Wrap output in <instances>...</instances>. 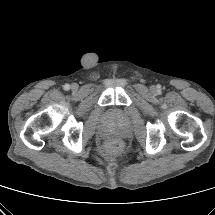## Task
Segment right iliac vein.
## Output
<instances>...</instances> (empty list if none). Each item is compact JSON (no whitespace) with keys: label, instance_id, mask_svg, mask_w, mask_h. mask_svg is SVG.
<instances>
[{"label":"right iliac vein","instance_id":"obj_1","mask_svg":"<svg viewBox=\"0 0 215 215\" xmlns=\"http://www.w3.org/2000/svg\"><path fill=\"white\" fill-rule=\"evenodd\" d=\"M71 89L72 90H77L78 89V85L76 83L71 85Z\"/></svg>","mask_w":215,"mask_h":215}]
</instances>
